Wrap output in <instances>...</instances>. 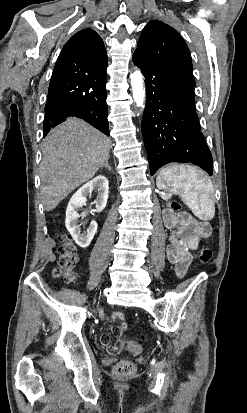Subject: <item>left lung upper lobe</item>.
<instances>
[{"instance_id": "5c2ea615", "label": "left lung upper lobe", "mask_w": 247, "mask_h": 413, "mask_svg": "<svg viewBox=\"0 0 247 413\" xmlns=\"http://www.w3.org/2000/svg\"><path fill=\"white\" fill-rule=\"evenodd\" d=\"M134 53L195 85L189 49L180 34L169 25L150 21L142 31Z\"/></svg>"}]
</instances>
